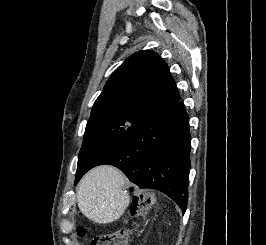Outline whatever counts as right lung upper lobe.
<instances>
[{
	"label": "right lung upper lobe",
	"instance_id": "right-lung-upper-lobe-1",
	"mask_svg": "<svg viewBox=\"0 0 266 245\" xmlns=\"http://www.w3.org/2000/svg\"><path fill=\"white\" fill-rule=\"evenodd\" d=\"M178 101V89L167 64L156 52L144 50L131 55L114 71L91 116L117 113L143 119Z\"/></svg>",
	"mask_w": 266,
	"mask_h": 245
}]
</instances>
